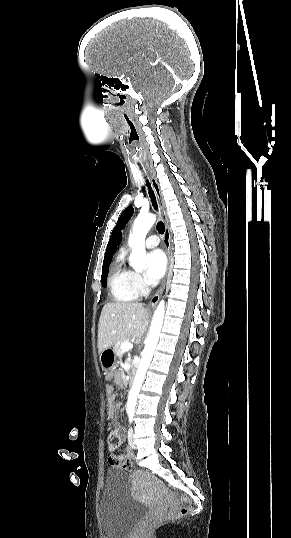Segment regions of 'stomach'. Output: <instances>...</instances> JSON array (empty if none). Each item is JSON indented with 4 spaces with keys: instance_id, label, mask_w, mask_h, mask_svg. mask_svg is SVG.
<instances>
[{
    "instance_id": "obj_1",
    "label": "stomach",
    "mask_w": 291,
    "mask_h": 538,
    "mask_svg": "<svg viewBox=\"0 0 291 538\" xmlns=\"http://www.w3.org/2000/svg\"><path fill=\"white\" fill-rule=\"evenodd\" d=\"M116 353L113 348L109 347L100 353V363L103 369H109L114 366Z\"/></svg>"
}]
</instances>
